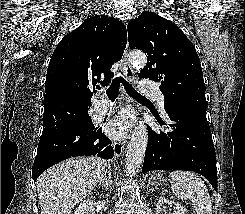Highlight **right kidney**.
I'll use <instances>...</instances> for the list:
<instances>
[{
	"mask_svg": "<svg viewBox=\"0 0 245 214\" xmlns=\"http://www.w3.org/2000/svg\"><path fill=\"white\" fill-rule=\"evenodd\" d=\"M74 214H95L93 202L90 199L84 200L76 208Z\"/></svg>",
	"mask_w": 245,
	"mask_h": 214,
	"instance_id": "obj_1",
	"label": "right kidney"
}]
</instances>
